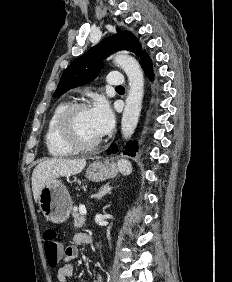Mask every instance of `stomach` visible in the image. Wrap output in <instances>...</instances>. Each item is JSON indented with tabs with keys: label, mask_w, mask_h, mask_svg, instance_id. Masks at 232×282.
<instances>
[{
	"label": "stomach",
	"mask_w": 232,
	"mask_h": 282,
	"mask_svg": "<svg viewBox=\"0 0 232 282\" xmlns=\"http://www.w3.org/2000/svg\"><path fill=\"white\" fill-rule=\"evenodd\" d=\"M117 173L118 167L116 164L100 161H94L86 169V177L95 182L113 178ZM38 202L44 217L53 223H63L66 221L71 213L73 204L68 190L58 179L44 185Z\"/></svg>",
	"instance_id": "stomach-1"
}]
</instances>
